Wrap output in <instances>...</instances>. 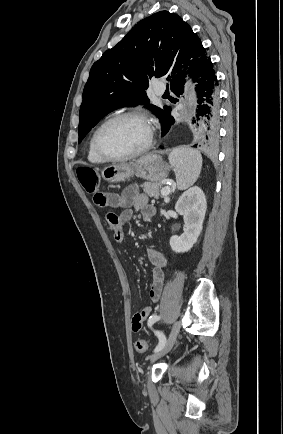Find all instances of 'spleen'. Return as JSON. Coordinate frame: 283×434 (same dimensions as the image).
I'll return each instance as SVG.
<instances>
[{
    "label": "spleen",
    "mask_w": 283,
    "mask_h": 434,
    "mask_svg": "<svg viewBox=\"0 0 283 434\" xmlns=\"http://www.w3.org/2000/svg\"><path fill=\"white\" fill-rule=\"evenodd\" d=\"M169 163L174 169L178 189L186 190L200 175L202 155L195 149L179 147L170 153Z\"/></svg>",
    "instance_id": "spleen-1"
}]
</instances>
